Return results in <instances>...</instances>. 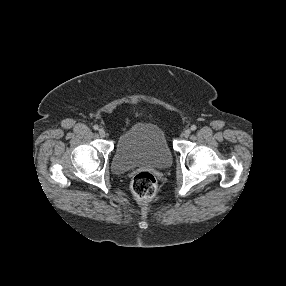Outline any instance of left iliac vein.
<instances>
[{
  "mask_svg": "<svg viewBox=\"0 0 286 286\" xmlns=\"http://www.w3.org/2000/svg\"><path fill=\"white\" fill-rule=\"evenodd\" d=\"M190 133H191V131L189 129H185L183 131L182 135H183V137L187 138V137H189Z\"/></svg>",
  "mask_w": 286,
  "mask_h": 286,
  "instance_id": "left-iliac-vein-1",
  "label": "left iliac vein"
}]
</instances>
